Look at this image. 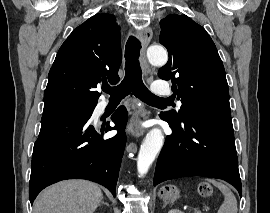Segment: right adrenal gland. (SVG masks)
<instances>
[{
  "label": "right adrenal gland",
  "instance_id": "right-adrenal-gland-1",
  "mask_svg": "<svg viewBox=\"0 0 270 213\" xmlns=\"http://www.w3.org/2000/svg\"><path fill=\"white\" fill-rule=\"evenodd\" d=\"M101 204H102V205L109 206V204H108V203H106V202H104V201H101Z\"/></svg>",
  "mask_w": 270,
  "mask_h": 213
}]
</instances>
